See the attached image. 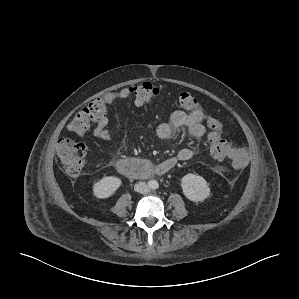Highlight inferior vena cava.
Instances as JSON below:
<instances>
[{"label":"inferior vena cava","mask_w":299,"mask_h":299,"mask_svg":"<svg viewBox=\"0 0 299 299\" xmlns=\"http://www.w3.org/2000/svg\"><path fill=\"white\" fill-rule=\"evenodd\" d=\"M134 190L141 194H145L149 191V186L145 182H139L134 186Z\"/></svg>","instance_id":"1"}]
</instances>
